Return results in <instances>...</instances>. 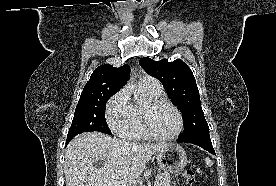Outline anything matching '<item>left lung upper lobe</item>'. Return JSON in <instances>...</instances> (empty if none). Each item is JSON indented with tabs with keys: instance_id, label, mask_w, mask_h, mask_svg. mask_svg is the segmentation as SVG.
<instances>
[{
	"instance_id": "obj_1",
	"label": "left lung upper lobe",
	"mask_w": 276,
	"mask_h": 186,
	"mask_svg": "<svg viewBox=\"0 0 276 186\" xmlns=\"http://www.w3.org/2000/svg\"><path fill=\"white\" fill-rule=\"evenodd\" d=\"M141 67L160 80L167 95L184 117V131L180 137L209 132L200 104L199 90L191 69L182 60L154 61L148 57L139 60Z\"/></svg>"
}]
</instances>
